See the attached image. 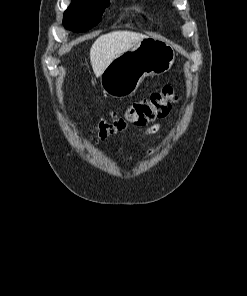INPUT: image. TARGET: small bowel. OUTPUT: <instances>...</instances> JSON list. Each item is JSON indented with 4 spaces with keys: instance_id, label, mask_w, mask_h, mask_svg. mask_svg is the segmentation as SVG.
Instances as JSON below:
<instances>
[{
    "instance_id": "small-bowel-1",
    "label": "small bowel",
    "mask_w": 247,
    "mask_h": 296,
    "mask_svg": "<svg viewBox=\"0 0 247 296\" xmlns=\"http://www.w3.org/2000/svg\"><path fill=\"white\" fill-rule=\"evenodd\" d=\"M160 128H161L160 125H154V126L148 128V129L145 131L144 135L147 136V135L154 134V133L158 132V131L160 130ZM153 153H154V148L150 149V151H149V154H150V155L153 154Z\"/></svg>"
}]
</instances>
